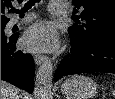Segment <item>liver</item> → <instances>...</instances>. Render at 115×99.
Masks as SVG:
<instances>
[{
  "mask_svg": "<svg viewBox=\"0 0 115 99\" xmlns=\"http://www.w3.org/2000/svg\"><path fill=\"white\" fill-rule=\"evenodd\" d=\"M1 99H19V90L1 80Z\"/></svg>",
  "mask_w": 115,
  "mask_h": 99,
  "instance_id": "1",
  "label": "liver"
}]
</instances>
